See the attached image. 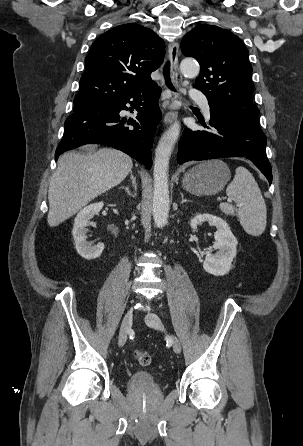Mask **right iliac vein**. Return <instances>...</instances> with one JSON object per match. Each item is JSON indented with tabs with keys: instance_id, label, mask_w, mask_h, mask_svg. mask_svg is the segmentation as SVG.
I'll return each mask as SVG.
<instances>
[{
	"instance_id": "obj_1",
	"label": "right iliac vein",
	"mask_w": 303,
	"mask_h": 446,
	"mask_svg": "<svg viewBox=\"0 0 303 446\" xmlns=\"http://www.w3.org/2000/svg\"><path fill=\"white\" fill-rule=\"evenodd\" d=\"M132 320H133V312L132 310H129L125 314L120 326L119 341H118L120 347L124 346V344L127 341V336L132 326Z\"/></svg>"
}]
</instances>
